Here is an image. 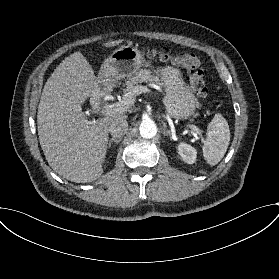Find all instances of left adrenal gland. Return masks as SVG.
Masks as SVG:
<instances>
[{"label":"left adrenal gland","instance_id":"obj_1","mask_svg":"<svg viewBox=\"0 0 279 279\" xmlns=\"http://www.w3.org/2000/svg\"><path fill=\"white\" fill-rule=\"evenodd\" d=\"M162 134H163L164 136H171V135H172V134H171V131H170V130H167L166 128L163 129Z\"/></svg>","mask_w":279,"mask_h":279}]
</instances>
